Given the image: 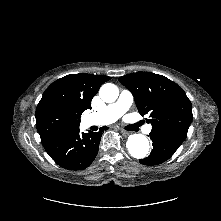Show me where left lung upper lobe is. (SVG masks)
<instances>
[{"label":"left lung upper lobe","instance_id":"left-lung-upper-lobe-1","mask_svg":"<svg viewBox=\"0 0 221 221\" xmlns=\"http://www.w3.org/2000/svg\"><path fill=\"white\" fill-rule=\"evenodd\" d=\"M119 81L133 94L139 113L149 115L147 122L152 130L186 138L193 117L192 104L180 86L151 72L127 74Z\"/></svg>","mask_w":221,"mask_h":221}]
</instances>
